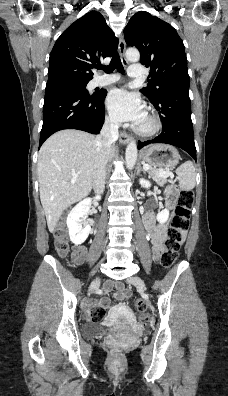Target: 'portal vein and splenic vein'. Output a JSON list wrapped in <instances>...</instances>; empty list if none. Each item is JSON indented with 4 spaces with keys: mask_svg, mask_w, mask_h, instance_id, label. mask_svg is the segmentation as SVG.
<instances>
[{
    "mask_svg": "<svg viewBox=\"0 0 228 396\" xmlns=\"http://www.w3.org/2000/svg\"><path fill=\"white\" fill-rule=\"evenodd\" d=\"M143 169H145V170H149L150 169V166L149 165H144L143 166ZM160 175L161 176H172V173L171 172H169L168 170H165V171H160ZM76 180V177H74L73 179H72V182H74Z\"/></svg>",
    "mask_w": 228,
    "mask_h": 396,
    "instance_id": "18ae733b",
    "label": "portal vein and splenic vein"
}]
</instances>
